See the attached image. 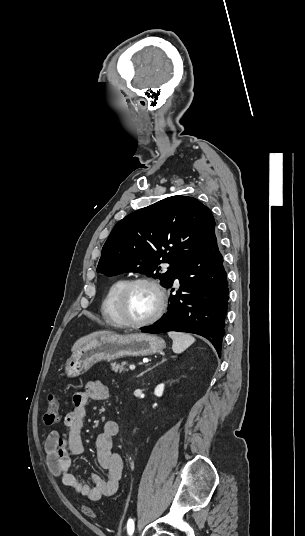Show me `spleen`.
<instances>
[{"instance_id":"spleen-1","label":"spleen","mask_w":305,"mask_h":536,"mask_svg":"<svg viewBox=\"0 0 305 536\" xmlns=\"http://www.w3.org/2000/svg\"><path fill=\"white\" fill-rule=\"evenodd\" d=\"M168 336L173 340L172 350L175 354H182L184 350H187V348L192 346L195 342L193 336H189V334H181V332H168Z\"/></svg>"}]
</instances>
